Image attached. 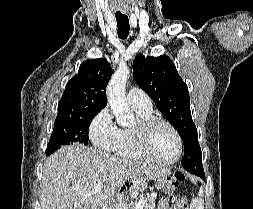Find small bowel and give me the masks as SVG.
Segmentation results:
<instances>
[{
  "mask_svg": "<svg viewBox=\"0 0 253 209\" xmlns=\"http://www.w3.org/2000/svg\"><path fill=\"white\" fill-rule=\"evenodd\" d=\"M157 209H176V207L170 204L169 199H163L159 202Z\"/></svg>",
  "mask_w": 253,
  "mask_h": 209,
  "instance_id": "obj_1",
  "label": "small bowel"
}]
</instances>
